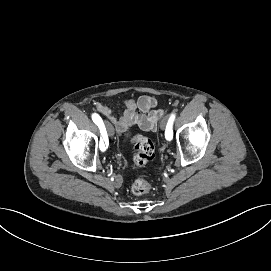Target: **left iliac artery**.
Here are the masks:
<instances>
[{"instance_id":"left-iliac-artery-1","label":"left iliac artery","mask_w":271,"mask_h":271,"mask_svg":"<svg viewBox=\"0 0 271 271\" xmlns=\"http://www.w3.org/2000/svg\"><path fill=\"white\" fill-rule=\"evenodd\" d=\"M174 119H175V114H172L171 116H170V118H169V120H168V123H167V130H166V132H165V138H166V140H168V141H174V136L172 135V126H173V121H174Z\"/></svg>"}]
</instances>
